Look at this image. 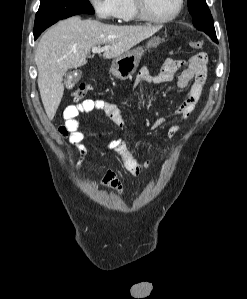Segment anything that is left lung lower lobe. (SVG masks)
Listing matches in <instances>:
<instances>
[{
    "label": "left lung lower lobe",
    "instance_id": "obj_1",
    "mask_svg": "<svg viewBox=\"0 0 247 299\" xmlns=\"http://www.w3.org/2000/svg\"><path fill=\"white\" fill-rule=\"evenodd\" d=\"M214 42L218 43V40L217 39H212Z\"/></svg>",
    "mask_w": 247,
    "mask_h": 299
}]
</instances>
